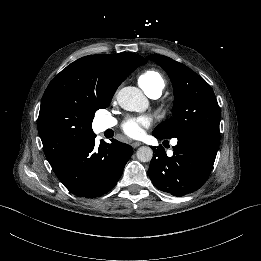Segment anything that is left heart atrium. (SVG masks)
I'll list each match as a JSON object with an SVG mask.
<instances>
[{"mask_svg":"<svg viewBox=\"0 0 261 261\" xmlns=\"http://www.w3.org/2000/svg\"><path fill=\"white\" fill-rule=\"evenodd\" d=\"M149 125L150 122L146 118L129 119L124 123L122 130L128 137L139 139L143 136L145 129L148 128Z\"/></svg>","mask_w":261,"mask_h":261,"instance_id":"left-heart-atrium-1","label":"left heart atrium"}]
</instances>
